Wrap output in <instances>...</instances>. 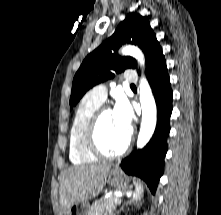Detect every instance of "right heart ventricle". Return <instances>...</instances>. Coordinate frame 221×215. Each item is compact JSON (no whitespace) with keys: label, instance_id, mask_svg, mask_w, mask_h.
Instances as JSON below:
<instances>
[{"label":"right heart ventricle","instance_id":"1","mask_svg":"<svg viewBox=\"0 0 221 215\" xmlns=\"http://www.w3.org/2000/svg\"><path fill=\"white\" fill-rule=\"evenodd\" d=\"M101 105L102 102L87 94L75 111L69 134V159L73 164H89L97 160L86 146L85 134L93 114Z\"/></svg>","mask_w":221,"mask_h":215}]
</instances>
